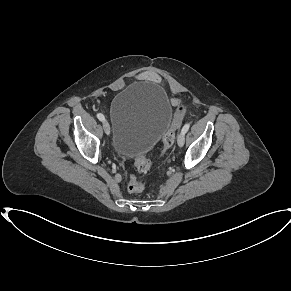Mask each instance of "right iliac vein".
<instances>
[{
    "label": "right iliac vein",
    "instance_id": "right-iliac-vein-1",
    "mask_svg": "<svg viewBox=\"0 0 291 291\" xmlns=\"http://www.w3.org/2000/svg\"><path fill=\"white\" fill-rule=\"evenodd\" d=\"M103 128H104L105 133L107 135H110V126L106 120L103 121Z\"/></svg>",
    "mask_w": 291,
    "mask_h": 291
}]
</instances>
